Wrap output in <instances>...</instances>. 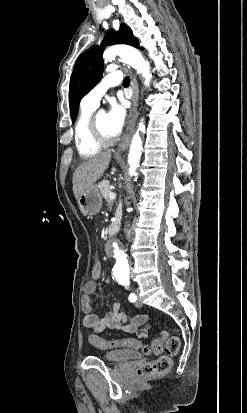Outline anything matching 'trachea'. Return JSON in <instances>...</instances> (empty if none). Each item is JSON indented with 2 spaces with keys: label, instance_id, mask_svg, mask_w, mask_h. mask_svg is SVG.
Masks as SVG:
<instances>
[{
  "label": "trachea",
  "instance_id": "trachea-1",
  "mask_svg": "<svg viewBox=\"0 0 247 413\" xmlns=\"http://www.w3.org/2000/svg\"><path fill=\"white\" fill-rule=\"evenodd\" d=\"M128 85H130V78L125 77L124 80H123V86L127 87Z\"/></svg>",
  "mask_w": 247,
  "mask_h": 413
}]
</instances>
